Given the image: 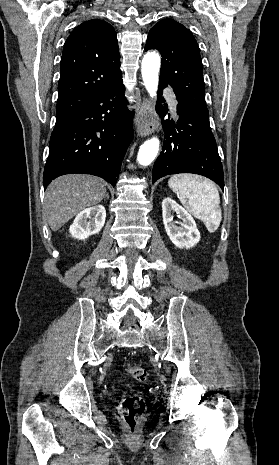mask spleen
<instances>
[{
    "label": "spleen",
    "mask_w": 279,
    "mask_h": 465,
    "mask_svg": "<svg viewBox=\"0 0 279 465\" xmlns=\"http://www.w3.org/2000/svg\"><path fill=\"white\" fill-rule=\"evenodd\" d=\"M168 185L178 195L184 207L204 222L209 232L218 229L222 212L219 192L213 182L189 174H180L172 176Z\"/></svg>",
    "instance_id": "1"
}]
</instances>
